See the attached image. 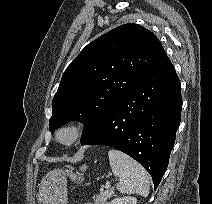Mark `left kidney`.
I'll list each match as a JSON object with an SVG mask.
<instances>
[{
	"label": "left kidney",
	"instance_id": "1",
	"mask_svg": "<svg viewBox=\"0 0 212 204\" xmlns=\"http://www.w3.org/2000/svg\"><path fill=\"white\" fill-rule=\"evenodd\" d=\"M108 204H137V199L132 196L118 197L113 199Z\"/></svg>",
	"mask_w": 212,
	"mask_h": 204
}]
</instances>
